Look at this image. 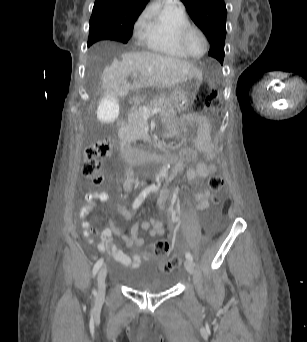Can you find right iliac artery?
Returning a JSON list of instances; mask_svg holds the SVG:
<instances>
[{"instance_id":"obj_1","label":"right iliac artery","mask_w":307,"mask_h":342,"mask_svg":"<svg viewBox=\"0 0 307 342\" xmlns=\"http://www.w3.org/2000/svg\"><path fill=\"white\" fill-rule=\"evenodd\" d=\"M154 189V188H153ZM153 189H150V188H147V189H144L140 194L139 196L135 199L134 203H133V209H136L138 208L141 203L143 202V200L147 197V195L150 193V191ZM103 262L104 260L101 258L99 259L95 265H94V268H93V275H96V273L99 271V269L101 268V266L103 265ZM95 293V291H94Z\"/></svg>"}]
</instances>
